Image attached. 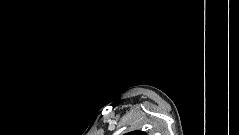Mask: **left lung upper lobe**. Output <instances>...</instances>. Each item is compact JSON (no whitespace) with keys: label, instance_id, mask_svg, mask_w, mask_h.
Here are the masks:
<instances>
[{"label":"left lung upper lobe","instance_id":"left-lung-upper-lobe-1","mask_svg":"<svg viewBox=\"0 0 239 135\" xmlns=\"http://www.w3.org/2000/svg\"><path fill=\"white\" fill-rule=\"evenodd\" d=\"M125 135H147V134L145 132L136 130V131L129 132Z\"/></svg>","mask_w":239,"mask_h":135}]
</instances>
